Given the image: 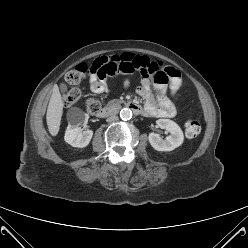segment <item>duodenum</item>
Listing matches in <instances>:
<instances>
[{"mask_svg": "<svg viewBox=\"0 0 248 248\" xmlns=\"http://www.w3.org/2000/svg\"><path fill=\"white\" fill-rule=\"evenodd\" d=\"M127 107H128L129 109H131L133 112H135L136 114H139V113H141V111H142V108H141L138 104L133 103V102L127 103ZM112 112H113L112 109L105 107V108L100 109V110L96 113V116H97L98 118H104V117H107V116H109L110 114H112Z\"/></svg>", "mask_w": 248, "mask_h": 248, "instance_id": "obj_1", "label": "duodenum"}]
</instances>
